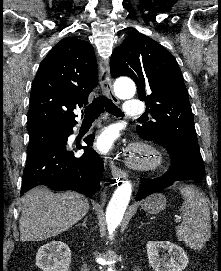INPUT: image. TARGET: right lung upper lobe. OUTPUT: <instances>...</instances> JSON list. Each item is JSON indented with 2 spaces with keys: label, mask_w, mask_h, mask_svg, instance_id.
Segmentation results:
<instances>
[{
  "label": "right lung upper lobe",
  "mask_w": 221,
  "mask_h": 271,
  "mask_svg": "<svg viewBox=\"0 0 221 271\" xmlns=\"http://www.w3.org/2000/svg\"><path fill=\"white\" fill-rule=\"evenodd\" d=\"M97 74L93 46L76 37L62 39L41 62L32 83L27 130L76 124L73 109L88 103Z\"/></svg>",
  "instance_id": "right-lung-upper-lobe-1"
}]
</instances>
